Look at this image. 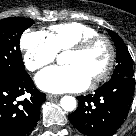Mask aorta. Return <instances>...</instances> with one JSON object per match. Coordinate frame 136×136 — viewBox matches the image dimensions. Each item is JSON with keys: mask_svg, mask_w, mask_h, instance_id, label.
<instances>
[{"mask_svg": "<svg viewBox=\"0 0 136 136\" xmlns=\"http://www.w3.org/2000/svg\"><path fill=\"white\" fill-rule=\"evenodd\" d=\"M57 62L59 64L64 63V59L62 55L58 56ZM60 105L65 111L68 112L73 111L76 108V99L72 96H64L60 101Z\"/></svg>", "mask_w": 136, "mask_h": 136, "instance_id": "obj_1", "label": "aorta"}]
</instances>
